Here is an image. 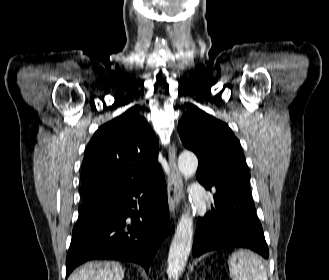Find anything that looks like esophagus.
<instances>
[{
  "instance_id": "34e87169",
  "label": "esophagus",
  "mask_w": 329,
  "mask_h": 280,
  "mask_svg": "<svg viewBox=\"0 0 329 280\" xmlns=\"http://www.w3.org/2000/svg\"><path fill=\"white\" fill-rule=\"evenodd\" d=\"M170 175L167 182L168 205L170 214L173 216L175 209L180 204L183 197V179L176 163V148L173 144L170 146L168 154Z\"/></svg>"
}]
</instances>
